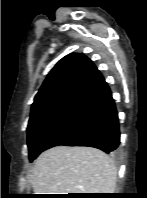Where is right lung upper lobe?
Segmentation results:
<instances>
[{
	"label": "right lung upper lobe",
	"instance_id": "1",
	"mask_svg": "<svg viewBox=\"0 0 147 198\" xmlns=\"http://www.w3.org/2000/svg\"><path fill=\"white\" fill-rule=\"evenodd\" d=\"M103 81L101 73L85 55L69 54L50 71L31 111L57 103L75 104Z\"/></svg>",
	"mask_w": 147,
	"mask_h": 198
}]
</instances>
